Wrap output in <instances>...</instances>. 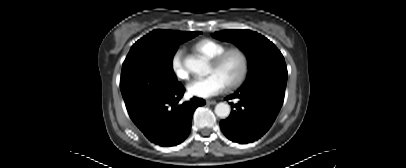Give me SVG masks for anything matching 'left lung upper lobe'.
<instances>
[{
    "instance_id": "1",
    "label": "left lung upper lobe",
    "mask_w": 406,
    "mask_h": 168,
    "mask_svg": "<svg viewBox=\"0 0 406 168\" xmlns=\"http://www.w3.org/2000/svg\"><path fill=\"white\" fill-rule=\"evenodd\" d=\"M214 37L241 48L248 58L249 73L239 90L255 86L286 87L288 72L277 47L264 36L250 30H225Z\"/></svg>"
}]
</instances>
